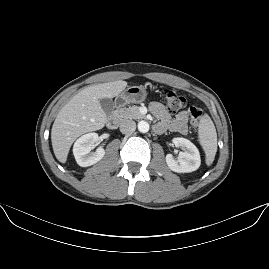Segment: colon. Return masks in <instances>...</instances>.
I'll return each mask as SVG.
<instances>
[{
  "instance_id": "1",
  "label": "colon",
  "mask_w": 269,
  "mask_h": 269,
  "mask_svg": "<svg viewBox=\"0 0 269 269\" xmlns=\"http://www.w3.org/2000/svg\"><path fill=\"white\" fill-rule=\"evenodd\" d=\"M185 104V97L177 92H168L165 96V105L167 109L172 113L180 111L185 106ZM189 113L191 125L193 127H197L203 117V112L200 108L191 106L189 107Z\"/></svg>"
}]
</instances>
